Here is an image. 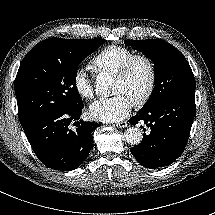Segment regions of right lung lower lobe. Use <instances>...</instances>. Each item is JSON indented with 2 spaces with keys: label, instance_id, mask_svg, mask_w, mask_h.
<instances>
[{
  "label": "right lung lower lobe",
  "instance_id": "right-lung-lower-lobe-1",
  "mask_svg": "<svg viewBox=\"0 0 215 215\" xmlns=\"http://www.w3.org/2000/svg\"><path fill=\"white\" fill-rule=\"evenodd\" d=\"M83 107L48 108L20 122L34 153L47 167L70 171L87 158L93 131L100 124L79 120ZM76 120L77 128L72 131L69 125Z\"/></svg>",
  "mask_w": 215,
  "mask_h": 215
}]
</instances>
